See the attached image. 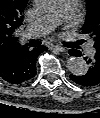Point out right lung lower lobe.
<instances>
[{
	"label": "right lung lower lobe",
	"mask_w": 100,
	"mask_h": 118,
	"mask_svg": "<svg viewBox=\"0 0 100 118\" xmlns=\"http://www.w3.org/2000/svg\"><path fill=\"white\" fill-rule=\"evenodd\" d=\"M47 47L22 48L15 57L0 62V77L11 84H21L36 74V59Z\"/></svg>",
	"instance_id": "obj_1"
}]
</instances>
